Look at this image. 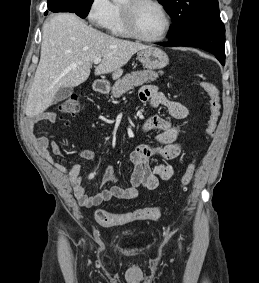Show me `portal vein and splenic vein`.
<instances>
[{"label":"portal vein and splenic vein","instance_id":"1","mask_svg":"<svg viewBox=\"0 0 259 283\" xmlns=\"http://www.w3.org/2000/svg\"><path fill=\"white\" fill-rule=\"evenodd\" d=\"M101 60H102L101 58H95L93 62L94 64H99Z\"/></svg>","mask_w":259,"mask_h":283}]
</instances>
